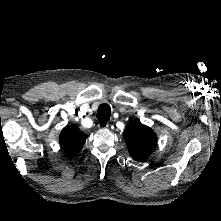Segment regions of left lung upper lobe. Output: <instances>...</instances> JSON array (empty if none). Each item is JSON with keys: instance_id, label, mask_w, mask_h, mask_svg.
I'll return each mask as SVG.
<instances>
[{"instance_id": "5c2ea615", "label": "left lung upper lobe", "mask_w": 221, "mask_h": 221, "mask_svg": "<svg viewBox=\"0 0 221 221\" xmlns=\"http://www.w3.org/2000/svg\"><path fill=\"white\" fill-rule=\"evenodd\" d=\"M123 137L129 154L137 161H142L150 156L157 143V136L154 131L139 121L128 123Z\"/></svg>"}]
</instances>
